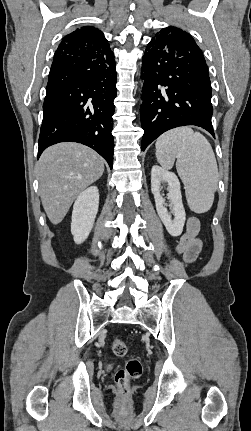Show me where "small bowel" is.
Returning a JSON list of instances; mask_svg holds the SVG:
<instances>
[{"instance_id": "obj_1", "label": "small bowel", "mask_w": 251, "mask_h": 431, "mask_svg": "<svg viewBox=\"0 0 251 431\" xmlns=\"http://www.w3.org/2000/svg\"><path fill=\"white\" fill-rule=\"evenodd\" d=\"M199 229V220L196 217H190L186 223L185 232L180 236L176 245V251L181 255L185 264L196 261L202 249V241L198 237Z\"/></svg>"}]
</instances>
